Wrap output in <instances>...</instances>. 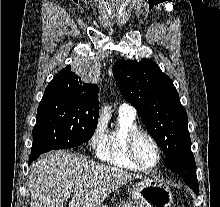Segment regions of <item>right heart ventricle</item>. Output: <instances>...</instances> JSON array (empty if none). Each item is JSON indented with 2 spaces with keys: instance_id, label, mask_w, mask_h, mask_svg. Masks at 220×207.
<instances>
[{
  "instance_id": "right-heart-ventricle-1",
  "label": "right heart ventricle",
  "mask_w": 220,
  "mask_h": 207,
  "mask_svg": "<svg viewBox=\"0 0 220 207\" xmlns=\"http://www.w3.org/2000/svg\"><path fill=\"white\" fill-rule=\"evenodd\" d=\"M138 128L135 116L119 112L117 124L106 129L105 135L96 149L97 157L108 165L127 170H142L129 157L127 137Z\"/></svg>"
}]
</instances>
